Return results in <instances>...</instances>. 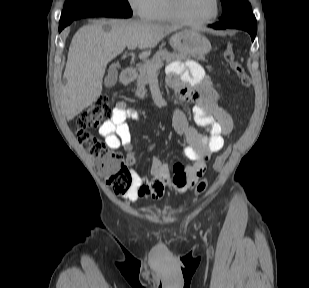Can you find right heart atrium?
<instances>
[{
	"mask_svg": "<svg viewBox=\"0 0 309 288\" xmlns=\"http://www.w3.org/2000/svg\"><path fill=\"white\" fill-rule=\"evenodd\" d=\"M127 2L134 14L140 18L149 19L155 0H127Z\"/></svg>",
	"mask_w": 309,
	"mask_h": 288,
	"instance_id": "obj_1",
	"label": "right heart atrium"
}]
</instances>
